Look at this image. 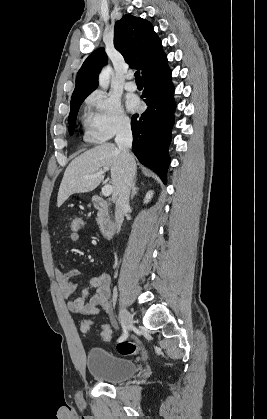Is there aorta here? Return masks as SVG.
Returning a JSON list of instances; mask_svg holds the SVG:
<instances>
[{
	"label": "aorta",
	"mask_w": 267,
	"mask_h": 419,
	"mask_svg": "<svg viewBox=\"0 0 267 419\" xmlns=\"http://www.w3.org/2000/svg\"><path fill=\"white\" fill-rule=\"evenodd\" d=\"M111 72L112 70L110 67H105L99 75V85L103 89H106L109 86Z\"/></svg>",
	"instance_id": "1"
}]
</instances>
